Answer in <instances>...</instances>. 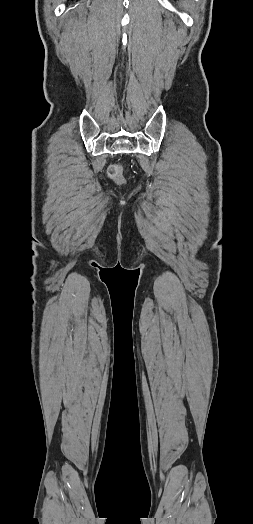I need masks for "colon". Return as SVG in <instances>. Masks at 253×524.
<instances>
[{
  "label": "colon",
  "instance_id": "obj_1",
  "mask_svg": "<svg viewBox=\"0 0 253 524\" xmlns=\"http://www.w3.org/2000/svg\"><path fill=\"white\" fill-rule=\"evenodd\" d=\"M108 176L116 182L123 181L122 169L118 164H113L108 168Z\"/></svg>",
  "mask_w": 253,
  "mask_h": 524
}]
</instances>
